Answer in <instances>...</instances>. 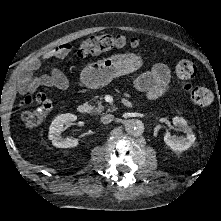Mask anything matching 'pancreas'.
Listing matches in <instances>:
<instances>
[{"label":"pancreas","mask_w":221,"mask_h":221,"mask_svg":"<svg viewBox=\"0 0 221 221\" xmlns=\"http://www.w3.org/2000/svg\"><path fill=\"white\" fill-rule=\"evenodd\" d=\"M104 110H105V107L102 105V101L100 100L96 107L93 106L91 108V113H93V114H100V113L104 112ZM110 111H111V109L108 108L107 112H110Z\"/></svg>","instance_id":"cf45deb5"}]
</instances>
